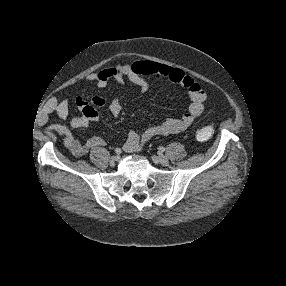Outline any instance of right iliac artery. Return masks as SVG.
<instances>
[{
	"label": "right iliac artery",
	"instance_id": "82829eb1",
	"mask_svg": "<svg viewBox=\"0 0 286 286\" xmlns=\"http://www.w3.org/2000/svg\"><path fill=\"white\" fill-rule=\"evenodd\" d=\"M115 151H116V153H118V154H119V153H121V151H122V150H121V148H119V147H118V148H116V150H115Z\"/></svg>",
	"mask_w": 286,
	"mask_h": 286
}]
</instances>
